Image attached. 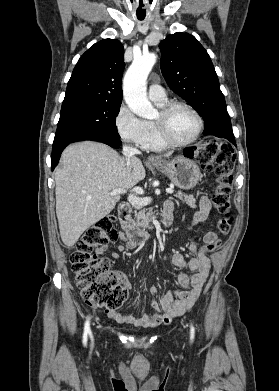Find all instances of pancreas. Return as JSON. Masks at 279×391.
I'll use <instances>...</instances> for the list:
<instances>
[{
  "instance_id": "1",
  "label": "pancreas",
  "mask_w": 279,
  "mask_h": 391,
  "mask_svg": "<svg viewBox=\"0 0 279 391\" xmlns=\"http://www.w3.org/2000/svg\"><path fill=\"white\" fill-rule=\"evenodd\" d=\"M176 198L182 200L190 207H195V198L192 195H187L181 191H178L175 195ZM155 219L154 213L148 209L135 213V226L146 229L149 227V223Z\"/></svg>"
}]
</instances>
